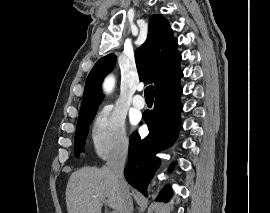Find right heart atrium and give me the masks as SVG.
<instances>
[{
    "instance_id": "1",
    "label": "right heart atrium",
    "mask_w": 270,
    "mask_h": 213,
    "mask_svg": "<svg viewBox=\"0 0 270 213\" xmlns=\"http://www.w3.org/2000/svg\"><path fill=\"white\" fill-rule=\"evenodd\" d=\"M89 137L94 153L101 159L124 155L130 147L124 116L110 105L101 107L95 114Z\"/></svg>"
}]
</instances>
